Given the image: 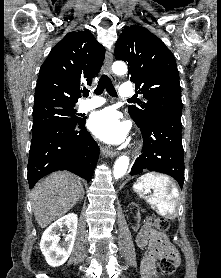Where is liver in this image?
Instances as JSON below:
<instances>
[{"label": "liver", "mask_w": 221, "mask_h": 278, "mask_svg": "<svg viewBox=\"0 0 221 278\" xmlns=\"http://www.w3.org/2000/svg\"><path fill=\"white\" fill-rule=\"evenodd\" d=\"M84 189L80 179L69 172H54L40 180L32 191L35 220L45 228L72 209Z\"/></svg>", "instance_id": "liver-1"}]
</instances>
